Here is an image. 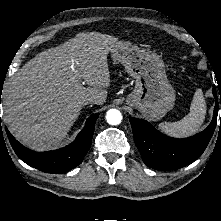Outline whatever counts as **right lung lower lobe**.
Segmentation results:
<instances>
[{
    "label": "right lung lower lobe",
    "mask_w": 221,
    "mask_h": 221,
    "mask_svg": "<svg viewBox=\"0 0 221 221\" xmlns=\"http://www.w3.org/2000/svg\"><path fill=\"white\" fill-rule=\"evenodd\" d=\"M99 114L91 116L76 140L68 146L48 152H35L21 145L5 128L8 139L17 156L26 164L46 173L60 174L78 166L88 152ZM0 129L2 132L1 118Z\"/></svg>",
    "instance_id": "right-lung-lower-lobe-1"
}]
</instances>
